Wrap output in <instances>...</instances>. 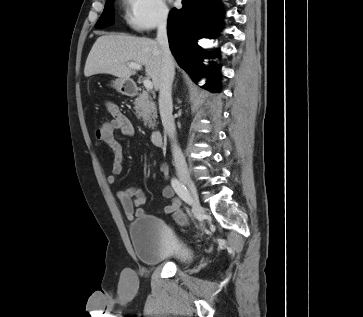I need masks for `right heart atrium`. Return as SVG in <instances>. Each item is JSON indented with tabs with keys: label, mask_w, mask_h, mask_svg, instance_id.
Listing matches in <instances>:
<instances>
[{
	"label": "right heart atrium",
	"mask_w": 363,
	"mask_h": 317,
	"mask_svg": "<svg viewBox=\"0 0 363 317\" xmlns=\"http://www.w3.org/2000/svg\"><path fill=\"white\" fill-rule=\"evenodd\" d=\"M127 23L138 32L166 24L169 9L165 0H124Z\"/></svg>",
	"instance_id": "1"
}]
</instances>
